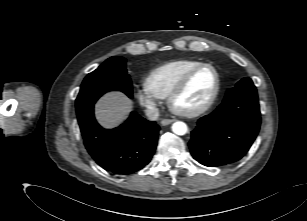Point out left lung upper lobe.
Listing matches in <instances>:
<instances>
[{
	"label": "left lung upper lobe",
	"instance_id": "1",
	"mask_svg": "<svg viewBox=\"0 0 307 221\" xmlns=\"http://www.w3.org/2000/svg\"><path fill=\"white\" fill-rule=\"evenodd\" d=\"M255 93H257L256 87L254 86L252 80L250 78H243L236 84L234 88H231L227 91L226 97L232 96L235 94L248 95V94H255Z\"/></svg>",
	"mask_w": 307,
	"mask_h": 221
}]
</instances>
